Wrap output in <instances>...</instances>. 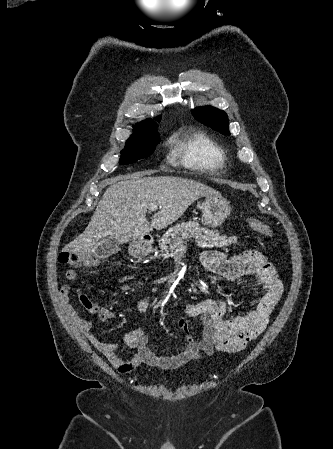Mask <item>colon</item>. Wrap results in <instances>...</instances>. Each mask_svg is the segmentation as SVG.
<instances>
[{
    "instance_id": "1",
    "label": "colon",
    "mask_w": 333,
    "mask_h": 449,
    "mask_svg": "<svg viewBox=\"0 0 333 449\" xmlns=\"http://www.w3.org/2000/svg\"><path fill=\"white\" fill-rule=\"evenodd\" d=\"M247 221L250 225V227L267 237L273 236V230L270 226L265 224L264 222L260 221L257 218L254 217H248ZM58 260L61 264L75 267V268H86V269H93L98 267L102 260L100 257L93 255L89 252L85 251H63L59 254Z\"/></svg>"
}]
</instances>
